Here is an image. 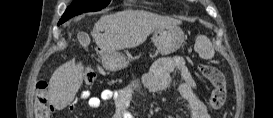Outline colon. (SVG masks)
<instances>
[{
  "mask_svg": "<svg viewBox=\"0 0 273 118\" xmlns=\"http://www.w3.org/2000/svg\"><path fill=\"white\" fill-rule=\"evenodd\" d=\"M200 73L208 79L213 85V91L208 101V105L212 110L220 109L226 100L227 88L226 80L222 72L207 64H200L198 67ZM96 75L92 71H87L84 75L86 84H93ZM37 101L35 105V113L37 118H49L52 111V104L47 96V83L44 80L37 82Z\"/></svg>",
  "mask_w": 273,
  "mask_h": 118,
  "instance_id": "1",
  "label": "colon"
}]
</instances>
